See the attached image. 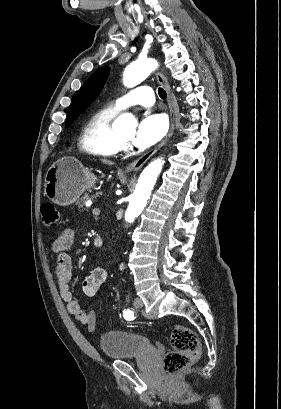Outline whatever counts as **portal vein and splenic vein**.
<instances>
[{"label": "portal vein and splenic vein", "mask_w": 281, "mask_h": 409, "mask_svg": "<svg viewBox=\"0 0 281 409\" xmlns=\"http://www.w3.org/2000/svg\"><path fill=\"white\" fill-rule=\"evenodd\" d=\"M100 212H101V207H100V206H95V207H94L93 215H94L95 217H98V216L100 215Z\"/></svg>", "instance_id": "obj_1"}]
</instances>
